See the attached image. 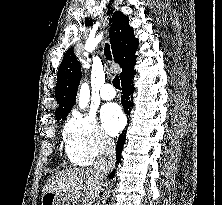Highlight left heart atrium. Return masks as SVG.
<instances>
[{"label": "left heart atrium", "instance_id": "left-heart-atrium-1", "mask_svg": "<svg viewBox=\"0 0 222 205\" xmlns=\"http://www.w3.org/2000/svg\"><path fill=\"white\" fill-rule=\"evenodd\" d=\"M101 120L110 135H116L124 125V116L117 104H107L101 110Z\"/></svg>", "mask_w": 222, "mask_h": 205}]
</instances>
